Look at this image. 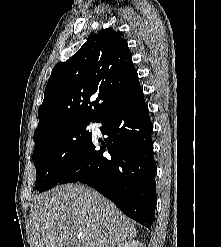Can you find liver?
Returning <instances> with one entry per match:
<instances>
[{"label":"liver","instance_id":"1","mask_svg":"<svg viewBox=\"0 0 221 247\" xmlns=\"http://www.w3.org/2000/svg\"><path fill=\"white\" fill-rule=\"evenodd\" d=\"M30 225L34 247H115L137 234L112 202L80 184L38 196Z\"/></svg>","mask_w":221,"mask_h":247}]
</instances>
